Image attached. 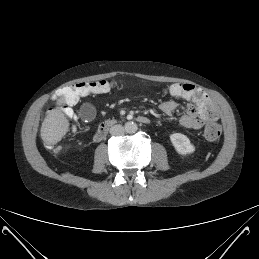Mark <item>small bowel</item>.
I'll return each instance as SVG.
<instances>
[{"label":"small bowel","mask_w":259,"mask_h":259,"mask_svg":"<svg viewBox=\"0 0 259 259\" xmlns=\"http://www.w3.org/2000/svg\"><path fill=\"white\" fill-rule=\"evenodd\" d=\"M197 91L200 90L197 88ZM174 99L164 101L160 104L159 108L165 114H173L179 106L178 100L183 99L187 101H192L186 112L180 117V124L187 129L198 130L201 129L207 121H216L218 119V114L216 110L209 105V99L200 100L197 98L196 94L191 99H185L180 96H172Z\"/></svg>","instance_id":"small-bowel-1"}]
</instances>
